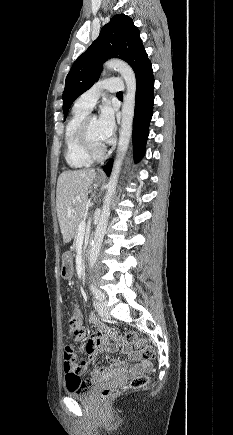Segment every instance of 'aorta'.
Segmentation results:
<instances>
[{
  "label": "aorta",
  "instance_id": "762f6f07",
  "mask_svg": "<svg viewBox=\"0 0 233 435\" xmlns=\"http://www.w3.org/2000/svg\"><path fill=\"white\" fill-rule=\"evenodd\" d=\"M105 68L116 70L120 73L125 80L127 91L122 106V122L117 152L110 179L106 186L107 191L103 200L101 215L95 229L92 247L90 249L89 265L91 268L95 265L101 249L110 216L111 201L116 190L121 166L128 150L132 133L136 97V77L133 69L127 63L118 59H112L105 63Z\"/></svg>",
  "mask_w": 233,
  "mask_h": 435
}]
</instances>
